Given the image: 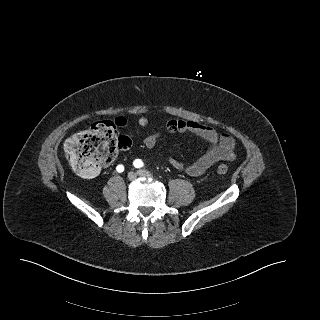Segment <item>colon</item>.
I'll return each instance as SVG.
<instances>
[{
	"label": "colon",
	"instance_id": "obj_1",
	"mask_svg": "<svg viewBox=\"0 0 320 320\" xmlns=\"http://www.w3.org/2000/svg\"><path fill=\"white\" fill-rule=\"evenodd\" d=\"M130 146V138L118 136L113 122L100 121L70 136L64 144V153L77 173L84 177H94L101 167L113 162L119 148L127 149ZM217 172L226 174L228 166L219 164Z\"/></svg>",
	"mask_w": 320,
	"mask_h": 320
}]
</instances>
